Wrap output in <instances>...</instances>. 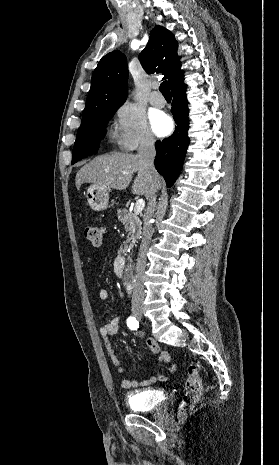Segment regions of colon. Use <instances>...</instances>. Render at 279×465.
<instances>
[{
    "mask_svg": "<svg viewBox=\"0 0 279 465\" xmlns=\"http://www.w3.org/2000/svg\"><path fill=\"white\" fill-rule=\"evenodd\" d=\"M85 236L92 245L100 246L103 242L104 228L99 225L89 226L85 230ZM173 369H176L175 365H173ZM162 379H166V377L162 375ZM201 393L202 380L199 375L198 367L195 364H190L187 368L184 395L179 410L180 415H184L194 404L199 401Z\"/></svg>",
    "mask_w": 279,
    "mask_h": 465,
    "instance_id": "1",
    "label": "colon"
}]
</instances>
